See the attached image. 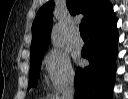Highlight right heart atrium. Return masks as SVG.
Masks as SVG:
<instances>
[{
    "label": "right heart atrium",
    "instance_id": "d8ad5b80",
    "mask_svg": "<svg viewBox=\"0 0 128 99\" xmlns=\"http://www.w3.org/2000/svg\"><path fill=\"white\" fill-rule=\"evenodd\" d=\"M43 63L55 91L60 92L74 82L75 73L67 54L52 49L45 55Z\"/></svg>",
    "mask_w": 128,
    "mask_h": 99
}]
</instances>
